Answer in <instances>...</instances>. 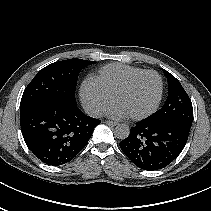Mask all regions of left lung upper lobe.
Returning a JSON list of instances; mask_svg holds the SVG:
<instances>
[{"label": "left lung upper lobe", "instance_id": "left-lung-upper-lobe-1", "mask_svg": "<svg viewBox=\"0 0 211 211\" xmlns=\"http://www.w3.org/2000/svg\"><path fill=\"white\" fill-rule=\"evenodd\" d=\"M168 80L169 94L164 106L147 118L153 122H178L191 127L193 107L191 100L180 82L168 71L163 69Z\"/></svg>", "mask_w": 211, "mask_h": 211}]
</instances>
